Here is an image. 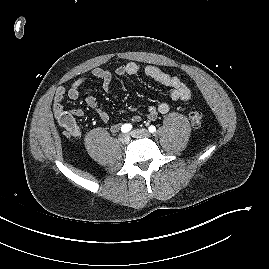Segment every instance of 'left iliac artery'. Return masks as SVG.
Masks as SVG:
<instances>
[{"label": "left iliac artery", "instance_id": "obj_1", "mask_svg": "<svg viewBox=\"0 0 269 269\" xmlns=\"http://www.w3.org/2000/svg\"><path fill=\"white\" fill-rule=\"evenodd\" d=\"M149 131H150L151 133H154V132L156 131V127H155L154 125H151V126L149 127Z\"/></svg>", "mask_w": 269, "mask_h": 269}]
</instances>
